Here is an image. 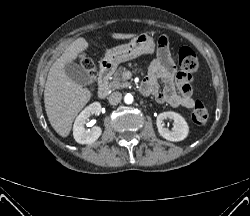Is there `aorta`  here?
Masks as SVG:
<instances>
[{
    "mask_svg": "<svg viewBox=\"0 0 250 216\" xmlns=\"http://www.w3.org/2000/svg\"><path fill=\"white\" fill-rule=\"evenodd\" d=\"M124 101L126 104H131L133 102V96L131 94H126L124 97Z\"/></svg>",
    "mask_w": 250,
    "mask_h": 216,
    "instance_id": "aorta-1",
    "label": "aorta"
}]
</instances>
